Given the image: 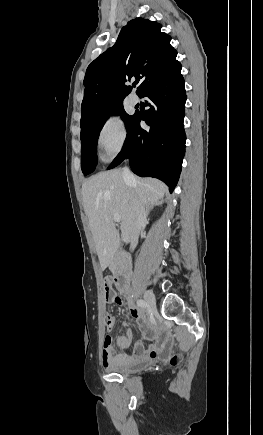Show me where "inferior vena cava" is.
Wrapping results in <instances>:
<instances>
[{
  "mask_svg": "<svg viewBox=\"0 0 263 435\" xmlns=\"http://www.w3.org/2000/svg\"><path fill=\"white\" fill-rule=\"evenodd\" d=\"M123 179L126 183H132L135 178L130 172L129 168L125 167L122 171ZM133 194V191H132ZM147 209L134 199L132 213H131V227H130V249L134 250L139 238L140 230L146 221Z\"/></svg>",
  "mask_w": 263,
  "mask_h": 435,
  "instance_id": "602c4592",
  "label": "inferior vena cava"
}]
</instances>
